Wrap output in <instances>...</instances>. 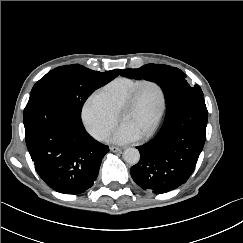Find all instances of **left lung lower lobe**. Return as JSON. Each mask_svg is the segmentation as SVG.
<instances>
[{"mask_svg": "<svg viewBox=\"0 0 243 243\" xmlns=\"http://www.w3.org/2000/svg\"><path fill=\"white\" fill-rule=\"evenodd\" d=\"M207 120L203 96L189 99L166 115L156 136L137 147L141 157L130 169L133 180L156 194L184 184L203 149Z\"/></svg>", "mask_w": 243, "mask_h": 243, "instance_id": "0a47b994", "label": "left lung lower lobe"}]
</instances>
